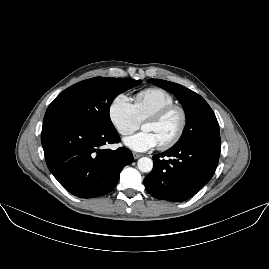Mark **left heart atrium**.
I'll use <instances>...</instances> for the list:
<instances>
[{
    "label": "left heart atrium",
    "mask_w": 269,
    "mask_h": 269,
    "mask_svg": "<svg viewBox=\"0 0 269 269\" xmlns=\"http://www.w3.org/2000/svg\"><path fill=\"white\" fill-rule=\"evenodd\" d=\"M124 144L138 152L147 151L158 147V142L149 131H142L124 139Z\"/></svg>",
    "instance_id": "obj_1"
}]
</instances>
